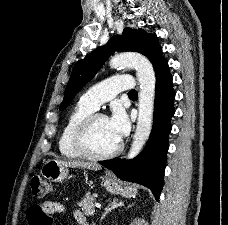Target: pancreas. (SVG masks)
<instances>
[{"mask_svg":"<svg viewBox=\"0 0 228 225\" xmlns=\"http://www.w3.org/2000/svg\"><path fill=\"white\" fill-rule=\"evenodd\" d=\"M95 197H92L91 193H86L84 199H82L81 203H77L78 207H81L84 215L87 217H92L95 213L94 209Z\"/></svg>","mask_w":228,"mask_h":225,"instance_id":"1","label":"pancreas"}]
</instances>
